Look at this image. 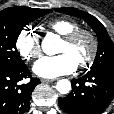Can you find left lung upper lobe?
<instances>
[{
    "mask_svg": "<svg viewBox=\"0 0 114 114\" xmlns=\"http://www.w3.org/2000/svg\"><path fill=\"white\" fill-rule=\"evenodd\" d=\"M55 10L84 19L96 32L98 38V50L90 71L114 69V45L100 21L94 16L84 11H79L76 8H57Z\"/></svg>",
    "mask_w": 114,
    "mask_h": 114,
    "instance_id": "5c2ea615",
    "label": "left lung upper lobe"
}]
</instances>
